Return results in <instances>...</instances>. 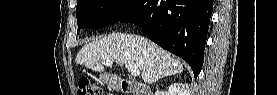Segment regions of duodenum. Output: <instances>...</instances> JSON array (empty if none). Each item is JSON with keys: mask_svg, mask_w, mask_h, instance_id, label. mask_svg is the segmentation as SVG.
Wrapping results in <instances>:
<instances>
[{"mask_svg": "<svg viewBox=\"0 0 277 95\" xmlns=\"http://www.w3.org/2000/svg\"><path fill=\"white\" fill-rule=\"evenodd\" d=\"M112 88H119L125 94H146V89L141 84H136L116 77H109Z\"/></svg>", "mask_w": 277, "mask_h": 95, "instance_id": "duodenum-1", "label": "duodenum"}]
</instances>
